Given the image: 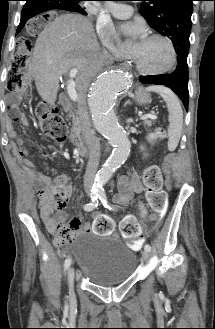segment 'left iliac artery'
I'll return each mask as SVG.
<instances>
[{
	"instance_id": "44dca946",
	"label": "left iliac artery",
	"mask_w": 215,
	"mask_h": 329,
	"mask_svg": "<svg viewBox=\"0 0 215 329\" xmlns=\"http://www.w3.org/2000/svg\"><path fill=\"white\" fill-rule=\"evenodd\" d=\"M98 197L104 207L108 208L109 210H114V208L112 206H110V204L108 203L107 196H106L105 190L103 188L98 189ZM144 249L147 251H150L151 246L149 244H146Z\"/></svg>"
}]
</instances>
